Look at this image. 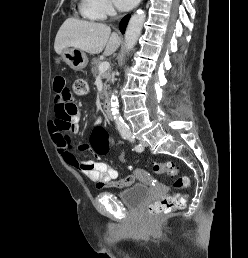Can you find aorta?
Returning <instances> with one entry per match:
<instances>
[{"label":"aorta","mask_w":248,"mask_h":258,"mask_svg":"<svg viewBox=\"0 0 248 258\" xmlns=\"http://www.w3.org/2000/svg\"><path fill=\"white\" fill-rule=\"evenodd\" d=\"M145 18L146 14L142 10L138 11L131 17L125 32L126 52H129L136 45L138 38L141 34ZM115 93H113L111 96V112L113 115V119L115 121L118 131L122 134H128L130 131L127 124L124 122L119 113V102Z\"/></svg>","instance_id":"1"}]
</instances>
